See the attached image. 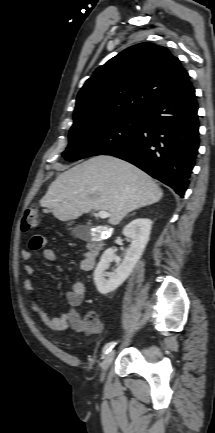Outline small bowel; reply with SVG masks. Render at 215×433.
Returning <instances> with one entry per match:
<instances>
[{
    "label": "small bowel",
    "mask_w": 215,
    "mask_h": 433,
    "mask_svg": "<svg viewBox=\"0 0 215 433\" xmlns=\"http://www.w3.org/2000/svg\"><path fill=\"white\" fill-rule=\"evenodd\" d=\"M45 245L46 241L44 237L34 236L29 241V248L22 251V259L24 261H30L32 259L33 251L42 250L43 257L46 261L56 262L57 255L55 251ZM94 264L95 258L86 251L80 262L81 270L90 271L93 269ZM24 271L28 276L23 282L24 290L29 300L31 310L37 315L42 323L54 331L73 329L77 332H82L87 328V324L80 318V315L77 312V308L81 306L85 298V284L82 281H74L70 289L66 292L65 297L70 310L67 313L49 315L37 299L36 290L31 280V277L34 275V268L31 265L26 264L24 266ZM100 330L101 328L99 331Z\"/></svg>",
    "instance_id": "obj_1"
}]
</instances>
